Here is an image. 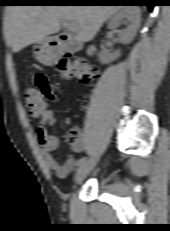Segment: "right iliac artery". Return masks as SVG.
<instances>
[{"mask_svg": "<svg viewBox=\"0 0 170 231\" xmlns=\"http://www.w3.org/2000/svg\"><path fill=\"white\" fill-rule=\"evenodd\" d=\"M86 161H87V158L86 157H83V158H81L79 161H78V166H82V165H84L85 163H86Z\"/></svg>", "mask_w": 170, "mask_h": 231, "instance_id": "obj_1", "label": "right iliac artery"}]
</instances>
